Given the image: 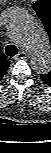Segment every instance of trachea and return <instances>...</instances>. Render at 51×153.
<instances>
[{
    "mask_svg": "<svg viewBox=\"0 0 51 153\" xmlns=\"http://www.w3.org/2000/svg\"><path fill=\"white\" fill-rule=\"evenodd\" d=\"M5 53L9 57H13L18 53V49L15 45L10 44L5 47Z\"/></svg>",
    "mask_w": 51,
    "mask_h": 153,
    "instance_id": "3493384b",
    "label": "trachea"
}]
</instances>
